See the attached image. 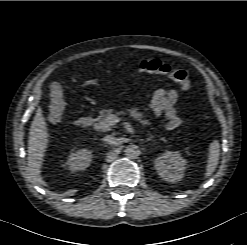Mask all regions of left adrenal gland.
Masks as SVG:
<instances>
[{"label":"left adrenal gland","mask_w":247,"mask_h":245,"mask_svg":"<svg viewBox=\"0 0 247 245\" xmlns=\"http://www.w3.org/2000/svg\"><path fill=\"white\" fill-rule=\"evenodd\" d=\"M153 138V135H151L146 141H150Z\"/></svg>","instance_id":"left-adrenal-gland-1"}]
</instances>
